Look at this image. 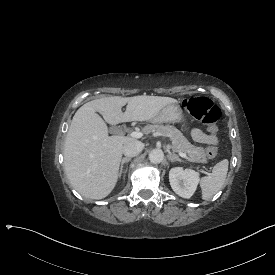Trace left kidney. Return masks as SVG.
I'll list each match as a JSON object with an SVG mask.
<instances>
[{
  "instance_id": "1",
  "label": "left kidney",
  "mask_w": 275,
  "mask_h": 275,
  "mask_svg": "<svg viewBox=\"0 0 275 275\" xmlns=\"http://www.w3.org/2000/svg\"><path fill=\"white\" fill-rule=\"evenodd\" d=\"M199 173L182 167L172 168L169 172V181L173 191L183 198H190L199 183Z\"/></svg>"
}]
</instances>
